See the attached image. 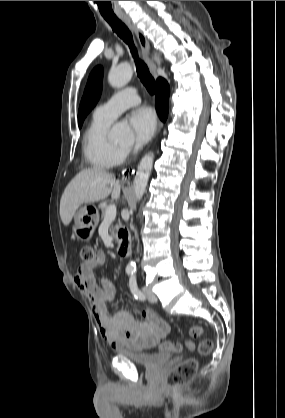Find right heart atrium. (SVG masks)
Listing matches in <instances>:
<instances>
[{
  "label": "right heart atrium",
  "mask_w": 285,
  "mask_h": 418,
  "mask_svg": "<svg viewBox=\"0 0 285 418\" xmlns=\"http://www.w3.org/2000/svg\"><path fill=\"white\" fill-rule=\"evenodd\" d=\"M120 154L122 157H125L130 154L131 148L130 147H120L119 148Z\"/></svg>",
  "instance_id": "obj_1"
}]
</instances>
